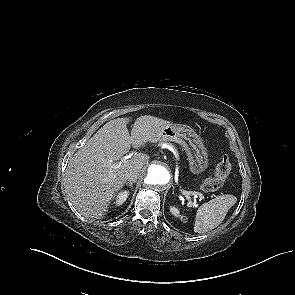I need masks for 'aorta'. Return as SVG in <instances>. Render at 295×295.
<instances>
[{"instance_id": "obj_1", "label": "aorta", "mask_w": 295, "mask_h": 295, "mask_svg": "<svg viewBox=\"0 0 295 295\" xmlns=\"http://www.w3.org/2000/svg\"><path fill=\"white\" fill-rule=\"evenodd\" d=\"M170 181L168 169L161 164H151L146 171L144 182L150 188L166 186Z\"/></svg>"}]
</instances>
